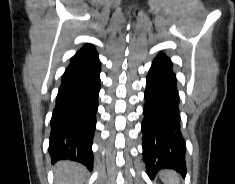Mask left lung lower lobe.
<instances>
[{
  "instance_id": "1",
  "label": "left lung lower lobe",
  "mask_w": 235,
  "mask_h": 184,
  "mask_svg": "<svg viewBox=\"0 0 235 184\" xmlns=\"http://www.w3.org/2000/svg\"><path fill=\"white\" fill-rule=\"evenodd\" d=\"M176 76L169 57L159 53L147 75L143 133V161L147 173L169 168L186 175L185 142L180 131Z\"/></svg>"
}]
</instances>
